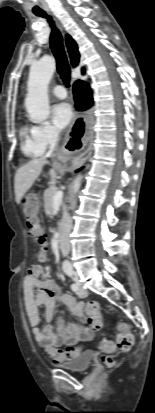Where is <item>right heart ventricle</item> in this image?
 Here are the masks:
<instances>
[{"label":"right heart ventricle","instance_id":"e07e8e85","mask_svg":"<svg viewBox=\"0 0 155 413\" xmlns=\"http://www.w3.org/2000/svg\"><path fill=\"white\" fill-rule=\"evenodd\" d=\"M21 139V151L29 158H37L42 155V151L37 147L33 135L32 129L28 126H22L19 132Z\"/></svg>","mask_w":155,"mask_h":413}]
</instances>
